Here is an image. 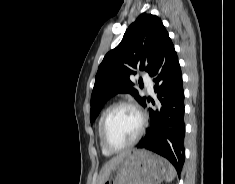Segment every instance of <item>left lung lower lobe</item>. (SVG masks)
Listing matches in <instances>:
<instances>
[{"label": "left lung lower lobe", "mask_w": 235, "mask_h": 184, "mask_svg": "<svg viewBox=\"0 0 235 184\" xmlns=\"http://www.w3.org/2000/svg\"><path fill=\"white\" fill-rule=\"evenodd\" d=\"M150 76L158 102L149 108L150 126L137 148L153 151L168 159L178 173L184 156V95L181 69L174 45L169 37L161 44ZM142 106H146V101Z\"/></svg>", "instance_id": "1"}]
</instances>
